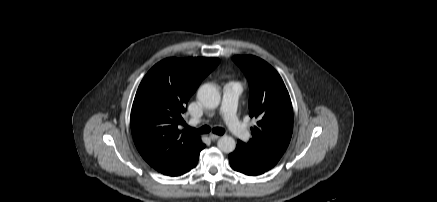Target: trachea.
Segmentation results:
<instances>
[{"mask_svg":"<svg viewBox=\"0 0 437 202\" xmlns=\"http://www.w3.org/2000/svg\"><path fill=\"white\" fill-rule=\"evenodd\" d=\"M187 129L195 131L196 133H199V134H206V133H209L211 131V128L207 125H204L198 129L191 128V127H187ZM212 132L217 134V135H223L225 133V130L221 127H215L212 129Z\"/></svg>","mask_w":437,"mask_h":202,"instance_id":"obj_1","label":"trachea"}]
</instances>
